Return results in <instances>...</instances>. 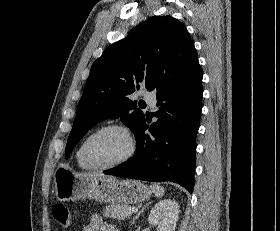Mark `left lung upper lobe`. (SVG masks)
I'll return each instance as SVG.
<instances>
[{"label": "left lung upper lobe", "instance_id": "left-lung-upper-lobe-1", "mask_svg": "<svg viewBox=\"0 0 280 231\" xmlns=\"http://www.w3.org/2000/svg\"><path fill=\"white\" fill-rule=\"evenodd\" d=\"M199 66L194 43L184 24L171 16H153L142 22L125 39L107 47L93 63L65 157L104 119L120 117L134 132L144 114L129 96L140 85L161 92L186 79Z\"/></svg>", "mask_w": 280, "mask_h": 231}]
</instances>
